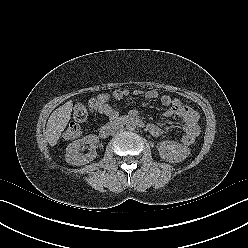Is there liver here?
I'll use <instances>...</instances> for the list:
<instances>
[{
    "mask_svg": "<svg viewBox=\"0 0 248 248\" xmlns=\"http://www.w3.org/2000/svg\"><path fill=\"white\" fill-rule=\"evenodd\" d=\"M72 101H68L50 115L46 125V139L51 146H55L61 133L67 126L72 112Z\"/></svg>",
    "mask_w": 248,
    "mask_h": 248,
    "instance_id": "1",
    "label": "liver"
}]
</instances>
